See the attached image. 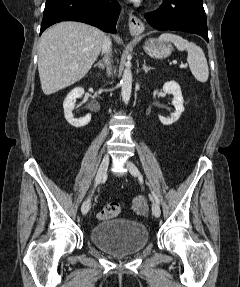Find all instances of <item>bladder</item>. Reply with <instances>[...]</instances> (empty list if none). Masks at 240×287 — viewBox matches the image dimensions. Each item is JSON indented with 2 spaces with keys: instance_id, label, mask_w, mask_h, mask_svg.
<instances>
[{
  "instance_id": "31cf9c89",
  "label": "bladder",
  "mask_w": 240,
  "mask_h": 287,
  "mask_svg": "<svg viewBox=\"0 0 240 287\" xmlns=\"http://www.w3.org/2000/svg\"><path fill=\"white\" fill-rule=\"evenodd\" d=\"M90 241L99 249L116 256L138 253L149 243L148 227L130 219H115L93 226Z\"/></svg>"
}]
</instances>
